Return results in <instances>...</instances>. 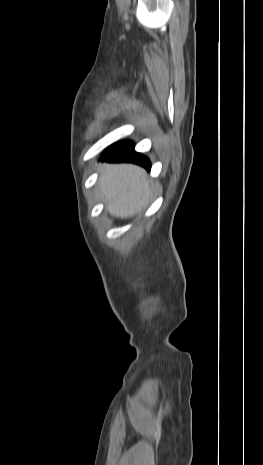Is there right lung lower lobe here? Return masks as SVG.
Listing matches in <instances>:
<instances>
[{
  "mask_svg": "<svg viewBox=\"0 0 263 465\" xmlns=\"http://www.w3.org/2000/svg\"><path fill=\"white\" fill-rule=\"evenodd\" d=\"M102 161L108 162H132L144 166L150 170L151 164L147 157L134 151L132 142L123 141L113 144L101 156Z\"/></svg>",
  "mask_w": 263,
  "mask_h": 465,
  "instance_id": "1",
  "label": "right lung lower lobe"
}]
</instances>
